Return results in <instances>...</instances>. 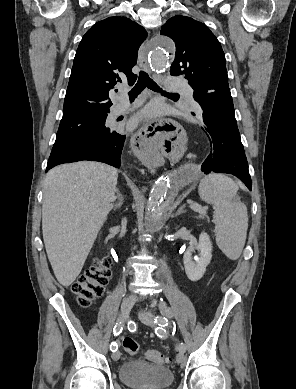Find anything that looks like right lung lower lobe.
<instances>
[{
	"instance_id": "obj_1",
	"label": "right lung lower lobe",
	"mask_w": 296,
	"mask_h": 389,
	"mask_svg": "<svg viewBox=\"0 0 296 389\" xmlns=\"http://www.w3.org/2000/svg\"><path fill=\"white\" fill-rule=\"evenodd\" d=\"M126 136L117 132L105 133L93 138L62 145L52 149L47 170L62 163L83 160L99 161L119 167Z\"/></svg>"
}]
</instances>
